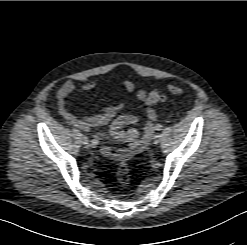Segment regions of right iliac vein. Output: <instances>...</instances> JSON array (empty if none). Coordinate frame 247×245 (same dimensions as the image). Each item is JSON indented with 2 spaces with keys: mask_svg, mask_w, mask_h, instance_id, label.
<instances>
[{
  "mask_svg": "<svg viewBox=\"0 0 247 245\" xmlns=\"http://www.w3.org/2000/svg\"><path fill=\"white\" fill-rule=\"evenodd\" d=\"M82 140L85 147L88 148L90 146L88 138L86 136H83Z\"/></svg>",
  "mask_w": 247,
  "mask_h": 245,
  "instance_id": "right-iliac-vein-1",
  "label": "right iliac vein"
}]
</instances>
